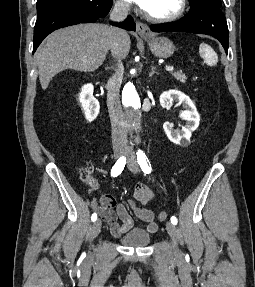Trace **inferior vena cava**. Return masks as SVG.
I'll return each mask as SVG.
<instances>
[{"label":"inferior vena cava","instance_id":"1","mask_svg":"<svg viewBox=\"0 0 255 287\" xmlns=\"http://www.w3.org/2000/svg\"><path fill=\"white\" fill-rule=\"evenodd\" d=\"M129 4L124 2H116L111 14L110 20L113 22H122L128 16ZM111 40L109 42V50L116 60L115 74L109 78L106 84L107 106L112 126V144L114 147H127V130L125 128L124 114L122 112L119 90L122 84L124 66L121 62L119 38L124 34V30L120 28H111Z\"/></svg>","mask_w":255,"mask_h":287}]
</instances>
